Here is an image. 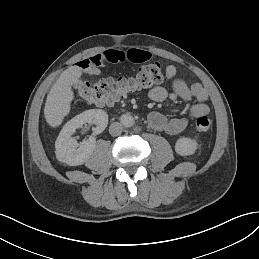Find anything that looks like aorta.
Wrapping results in <instances>:
<instances>
[{"label": "aorta", "instance_id": "1", "mask_svg": "<svg viewBox=\"0 0 259 259\" xmlns=\"http://www.w3.org/2000/svg\"><path fill=\"white\" fill-rule=\"evenodd\" d=\"M134 122V118L131 115L125 114L121 117V123L126 128L133 126Z\"/></svg>", "mask_w": 259, "mask_h": 259}]
</instances>
